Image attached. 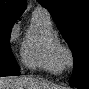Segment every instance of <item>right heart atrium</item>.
<instances>
[{
    "label": "right heart atrium",
    "instance_id": "right-heart-atrium-1",
    "mask_svg": "<svg viewBox=\"0 0 89 89\" xmlns=\"http://www.w3.org/2000/svg\"><path fill=\"white\" fill-rule=\"evenodd\" d=\"M18 35H19V24L17 23L12 27L10 33V43H13L15 39L18 37Z\"/></svg>",
    "mask_w": 89,
    "mask_h": 89
}]
</instances>
